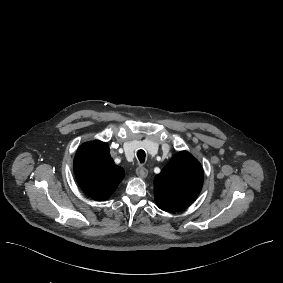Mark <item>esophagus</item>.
<instances>
[{"mask_svg": "<svg viewBox=\"0 0 283 283\" xmlns=\"http://www.w3.org/2000/svg\"><path fill=\"white\" fill-rule=\"evenodd\" d=\"M136 174L140 178H145L148 175V170L145 167L140 166L136 169Z\"/></svg>", "mask_w": 283, "mask_h": 283, "instance_id": "1", "label": "esophagus"}]
</instances>
